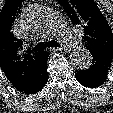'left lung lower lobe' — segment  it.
<instances>
[{"label":"left lung lower lobe","mask_w":113,"mask_h":113,"mask_svg":"<svg viewBox=\"0 0 113 113\" xmlns=\"http://www.w3.org/2000/svg\"><path fill=\"white\" fill-rule=\"evenodd\" d=\"M111 62L99 56H93L92 65L86 70L75 72L77 81L90 88H96L102 85L107 79Z\"/></svg>","instance_id":"0a47b994"}]
</instances>
